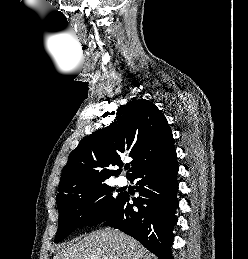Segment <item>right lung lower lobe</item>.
I'll return each mask as SVG.
<instances>
[{
    "label": "right lung lower lobe",
    "instance_id": "right-lung-lower-lobe-1",
    "mask_svg": "<svg viewBox=\"0 0 248 259\" xmlns=\"http://www.w3.org/2000/svg\"><path fill=\"white\" fill-rule=\"evenodd\" d=\"M176 152L147 165L130 179H137L139 197L131 205L125 193L116 213L104 225L118 228L137 239L159 259H171L172 230L178 207Z\"/></svg>",
    "mask_w": 248,
    "mask_h": 259
}]
</instances>
